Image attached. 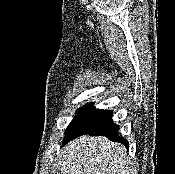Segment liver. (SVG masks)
<instances>
[{
    "label": "liver",
    "mask_w": 175,
    "mask_h": 174,
    "mask_svg": "<svg viewBox=\"0 0 175 174\" xmlns=\"http://www.w3.org/2000/svg\"><path fill=\"white\" fill-rule=\"evenodd\" d=\"M125 147L106 137L80 136L62 151L61 174H132Z\"/></svg>",
    "instance_id": "obj_1"
}]
</instances>
